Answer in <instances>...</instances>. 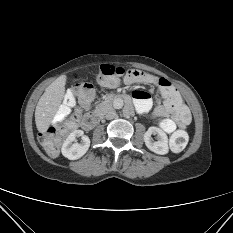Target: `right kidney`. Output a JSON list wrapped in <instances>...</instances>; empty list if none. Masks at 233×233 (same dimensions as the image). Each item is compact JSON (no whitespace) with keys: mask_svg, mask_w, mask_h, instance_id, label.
Wrapping results in <instances>:
<instances>
[{"mask_svg":"<svg viewBox=\"0 0 233 233\" xmlns=\"http://www.w3.org/2000/svg\"><path fill=\"white\" fill-rule=\"evenodd\" d=\"M81 137V143H73L76 138ZM90 147V139L84 135L82 130H74L64 140L61 148L62 155L69 160L81 158Z\"/></svg>","mask_w":233,"mask_h":233,"instance_id":"ca27d5eb","label":"right kidney"}]
</instances>
